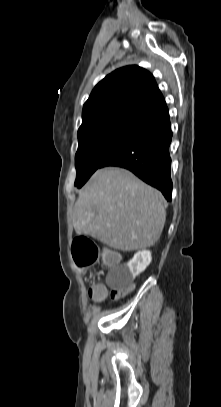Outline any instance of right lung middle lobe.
<instances>
[{
    "instance_id": "obj_1",
    "label": "right lung middle lobe",
    "mask_w": 221,
    "mask_h": 407,
    "mask_svg": "<svg viewBox=\"0 0 221 407\" xmlns=\"http://www.w3.org/2000/svg\"><path fill=\"white\" fill-rule=\"evenodd\" d=\"M138 127L135 124H118L100 128L78 138L75 156V186L82 187L101 163L114 152Z\"/></svg>"
}]
</instances>
